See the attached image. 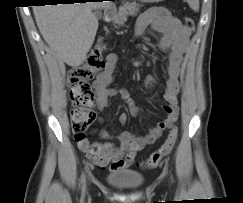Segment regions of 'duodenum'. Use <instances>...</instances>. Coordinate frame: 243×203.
I'll return each instance as SVG.
<instances>
[{"label":"duodenum","instance_id":"obj_1","mask_svg":"<svg viewBox=\"0 0 243 203\" xmlns=\"http://www.w3.org/2000/svg\"><path fill=\"white\" fill-rule=\"evenodd\" d=\"M112 13H113V9H112V8L106 9V10L104 11L103 20H104L105 22H109V21H111Z\"/></svg>","mask_w":243,"mask_h":203}]
</instances>
